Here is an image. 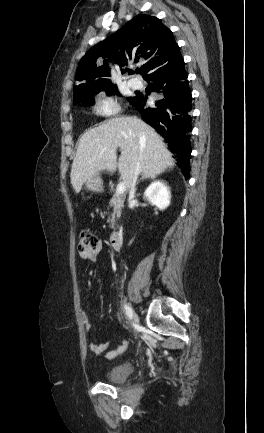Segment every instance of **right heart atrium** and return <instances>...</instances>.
<instances>
[{
	"instance_id": "1",
	"label": "right heart atrium",
	"mask_w": 264,
	"mask_h": 433,
	"mask_svg": "<svg viewBox=\"0 0 264 433\" xmlns=\"http://www.w3.org/2000/svg\"><path fill=\"white\" fill-rule=\"evenodd\" d=\"M119 111L117 101L111 96L100 95L94 103V112L101 117L114 116Z\"/></svg>"
}]
</instances>
